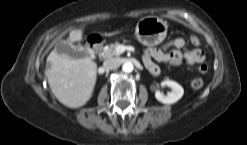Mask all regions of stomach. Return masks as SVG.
Wrapping results in <instances>:
<instances>
[{"instance_id": "stomach-1", "label": "stomach", "mask_w": 247, "mask_h": 145, "mask_svg": "<svg viewBox=\"0 0 247 145\" xmlns=\"http://www.w3.org/2000/svg\"><path fill=\"white\" fill-rule=\"evenodd\" d=\"M167 22L155 16L145 17L136 25L135 34L139 42L147 46L160 44L167 35Z\"/></svg>"}]
</instances>
